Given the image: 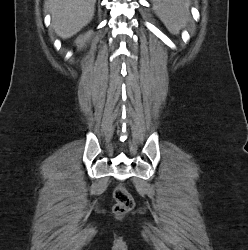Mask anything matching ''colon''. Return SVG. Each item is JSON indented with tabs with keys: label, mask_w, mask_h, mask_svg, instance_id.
<instances>
[{
	"label": "colon",
	"mask_w": 248,
	"mask_h": 250,
	"mask_svg": "<svg viewBox=\"0 0 248 250\" xmlns=\"http://www.w3.org/2000/svg\"><path fill=\"white\" fill-rule=\"evenodd\" d=\"M115 205L113 212L116 216H124L134 207V200L131 194L123 185H118L113 193Z\"/></svg>",
	"instance_id": "1"
}]
</instances>
